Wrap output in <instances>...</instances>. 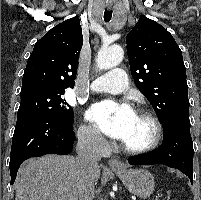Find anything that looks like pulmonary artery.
<instances>
[{
	"mask_svg": "<svg viewBox=\"0 0 201 200\" xmlns=\"http://www.w3.org/2000/svg\"><path fill=\"white\" fill-rule=\"evenodd\" d=\"M128 87L126 73L122 69H113L99 76L91 86L94 92L118 94Z\"/></svg>",
	"mask_w": 201,
	"mask_h": 200,
	"instance_id": "obj_1",
	"label": "pulmonary artery"
}]
</instances>
